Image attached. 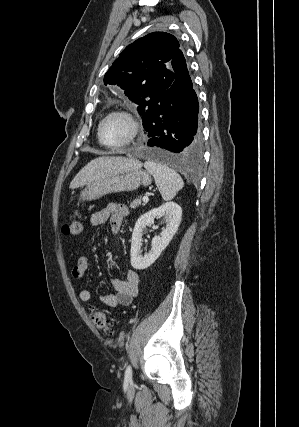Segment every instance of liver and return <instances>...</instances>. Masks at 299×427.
Masks as SVG:
<instances>
[{"instance_id":"1","label":"liver","mask_w":299,"mask_h":427,"mask_svg":"<svg viewBox=\"0 0 299 427\" xmlns=\"http://www.w3.org/2000/svg\"><path fill=\"white\" fill-rule=\"evenodd\" d=\"M141 165V162L135 159L101 156L86 164L73 178L69 188L75 189L109 175L140 168Z\"/></svg>"}]
</instances>
